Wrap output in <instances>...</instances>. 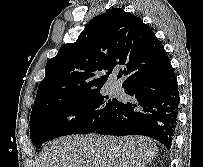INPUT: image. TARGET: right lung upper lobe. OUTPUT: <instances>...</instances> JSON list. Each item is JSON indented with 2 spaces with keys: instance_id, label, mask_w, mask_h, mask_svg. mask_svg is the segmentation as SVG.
Segmentation results:
<instances>
[{
  "instance_id": "obj_1",
  "label": "right lung upper lobe",
  "mask_w": 203,
  "mask_h": 167,
  "mask_svg": "<svg viewBox=\"0 0 203 167\" xmlns=\"http://www.w3.org/2000/svg\"><path fill=\"white\" fill-rule=\"evenodd\" d=\"M168 65L151 28L121 8L109 9L47 62L32 111L55 99L99 91L113 71L119 70L117 78L123 77L126 88Z\"/></svg>"
}]
</instances>
